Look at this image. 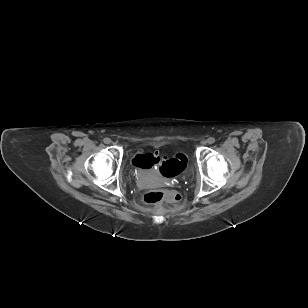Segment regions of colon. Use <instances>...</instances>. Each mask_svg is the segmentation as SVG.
<instances>
[{
  "label": "colon",
  "mask_w": 308,
  "mask_h": 308,
  "mask_svg": "<svg viewBox=\"0 0 308 308\" xmlns=\"http://www.w3.org/2000/svg\"><path fill=\"white\" fill-rule=\"evenodd\" d=\"M134 164L139 168L149 169L159 167V172L165 177L177 175L186 165V157L183 154H177L174 159L160 160L154 154L137 155ZM181 195L174 190H152L145 194L144 201L147 204H160L163 201L179 203Z\"/></svg>",
  "instance_id": "colon-1"
}]
</instances>
